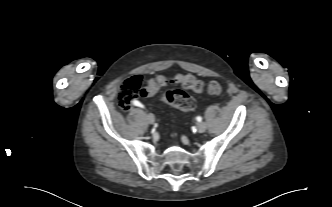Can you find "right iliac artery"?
<instances>
[{
    "label": "right iliac artery",
    "mask_w": 332,
    "mask_h": 207,
    "mask_svg": "<svg viewBox=\"0 0 332 207\" xmlns=\"http://www.w3.org/2000/svg\"><path fill=\"white\" fill-rule=\"evenodd\" d=\"M133 104L135 105V106H138V107H141V108H144V106L139 102V101H134L133 102Z\"/></svg>",
    "instance_id": "right-iliac-artery-1"
}]
</instances>
